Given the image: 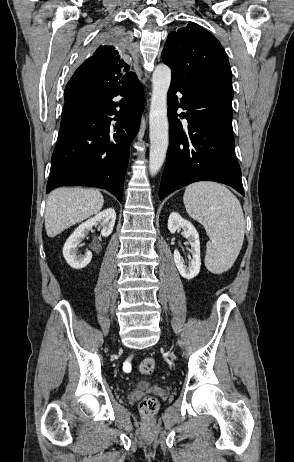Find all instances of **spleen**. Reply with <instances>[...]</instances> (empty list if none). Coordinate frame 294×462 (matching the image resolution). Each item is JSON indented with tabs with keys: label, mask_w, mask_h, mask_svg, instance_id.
I'll list each match as a JSON object with an SVG mask.
<instances>
[{
	"label": "spleen",
	"mask_w": 294,
	"mask_h": 462,
	"mask_svg": "<svg viewBox=\"0 0 294 462\" xmlns=\"http://www.w3.org/2000/svg\"><path fill=\"white\" fill-rule=\"evenodd\" d=\"M183 201L189 216L204 226L210 238L207 269L214 274L227 271L244 240L245 220L239 200L221 184L198 182L186 188Z\"/></svg>",
	"instance_id": "obj_1"
}]
</instances>
